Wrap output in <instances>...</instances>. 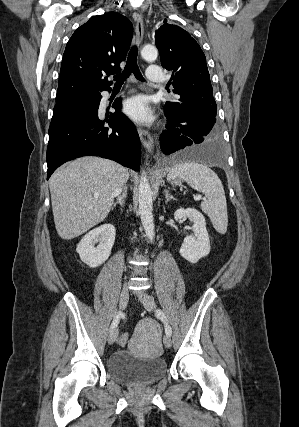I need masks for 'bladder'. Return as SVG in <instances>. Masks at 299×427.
<instances>
[{
	"instance_id": "bladder-1",
	"label": "bladder",
	"mask_w": 299,
	"mask_h": 427,
	"mask_svg": "<svg viewBox=\"0 0 299 427\" xmlns=\"http://www.w3.org/2000/svg\"><path fill=\"white\" fill-rule=\"evenodd\" d=\"M166 372L167 365L162 358L139 357L125 349L113 353L107 363L109 377L120 384H153L163 378Z\"/></svg>"
}]
</instances>
